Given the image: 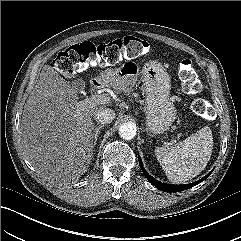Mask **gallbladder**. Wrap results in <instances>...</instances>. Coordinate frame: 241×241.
<instances>
[{
    "instance_id": "gallbladder-1",
    "label": "gallbladder",
    "mask_w": 241,
    "mask_h": 241,
    "mask_svg": "<svg viewBox=\"0 0 241 241\" xmlns=\"http://www.w3.org/2000/svg\"><path fill=\"white\" fill-rule=\"evenodd\" d=\"M76 84V89L78 92L82 91L85 87V82L82 79H77L74 81Z\"/></svg>"
}]
</instances>
